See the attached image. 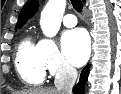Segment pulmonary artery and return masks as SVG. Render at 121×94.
Here are the masks:
<instances>
[{
  "mask_svg": "<svg viewBox=\"0 0 121 94\" xmlns=\"http://www.w3.org/2000/svg\"><path fill=\"white\" fill-rule=\"evenodd\" d=\"M63 24L66 27H74L77 24V18L74 14H66L63 18Z\"/></svg>",
  "mask_w": 121,
  "mask_h": 94,
  "instance_id": "pulmonary-artery-1",
  "label": "pulmonary artery"
}]
</instances>
